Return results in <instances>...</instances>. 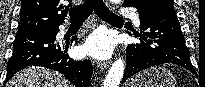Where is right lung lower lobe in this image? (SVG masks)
<instances>
[{"label":"right lung lower lobe","mask_w":205,"mask_h":87,"mask_svg":"<svg viewBox=\"0 0 205 87\" xmlns=\"http://www.w3.org/2000/svg\"><path fill=\"white\" fill-rule=\"evenodd\" d=\"M58 32L59 27L17 34L5 83L27 66H41L58 71L76 87H89L93 72L91 62L71 59L67 54L69 42L64 46L55 41Z\"/></svg>","instance_id":"right-lung-lower-lobe-1"}]
</instances>
